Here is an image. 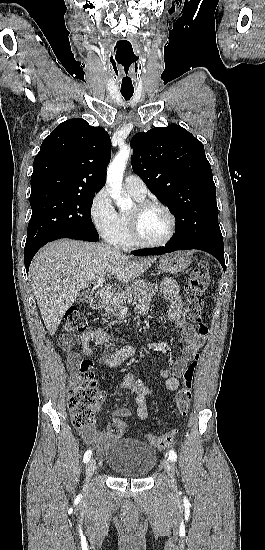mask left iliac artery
I'll use <instances>...</instances> for the list:
<instances>
[{
    "label": "left iliac artery",
    "mask_w": 265,
    "mask_h": 550,
    "mask_svg": "<svg viewBox=\"0 0 265 550\" xmlns=\"http://www.w3.org/2000/svg\"><path fill=\"white\" fill-rule=\"evenodd\" d=\"M169 459H170L171 461H173V462L176 461L177 455H176V452H175L174 450H170V452H169Z\"/></svg>",
    "instance_id": "1"
}]
</instances>
